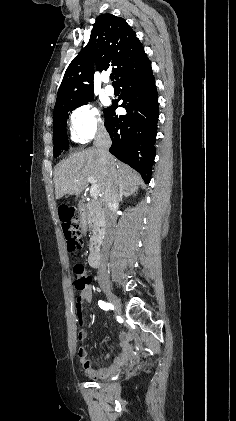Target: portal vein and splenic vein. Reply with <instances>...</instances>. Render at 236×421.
<instances>
[{"label": "portal vein and splenic vein", "mask_w": 236, "mask_h": 421, "mask_svg": "<svg viewBox=\"0 0 236 421\" xmlns=\"http://www.w3.org/2000/svg\"><path fill=\"white\" fill-rule=\"evenodd\" d=\"M88 182H91V188H90V196H93V198H97L99 194V188L96 184L95 178L93 176H87Z\"/></svg>", "instance_id": "portal-vein-and-splenic-vein-1"}]
</instances>
